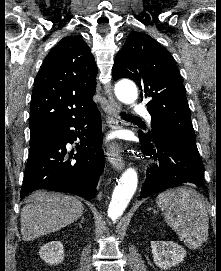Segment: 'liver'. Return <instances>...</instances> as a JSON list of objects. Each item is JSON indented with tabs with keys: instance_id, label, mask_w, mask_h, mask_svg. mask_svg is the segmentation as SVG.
<instances>
[{
	"instance_id": "1",
	"label": "liver",
	"mask_w": 221,
	"mask_h": 271,
	"mask_svg": "<svg viewBox=\"0 0 221 271\" xmlns=\"http://www.w3.org/2000/svg\"><path fill=\"white\" fill-rule=\"evenodd\" d=\"M84 205L74 195L33 191L21 209V233L24 241L58 231L79 219Z\"/></svg>"
}]
</instances>
